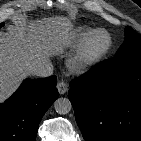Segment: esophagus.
Instances as JSON below:
<instances>
[{
    "instance_id": "esophagus-1",
    "label": "esophagus",
    "mask_w": 141,
    "mask_h": 141,
    "mask_svg": "<svg viewBox=\"0 0 141 141\" xmlns=\"http://www.w3.org/2000/svg\"><path fill=\"white\" fill-rule=\"evenodd\" d=\"M57 89L60 95L65 94L68 91V85L64 81H60L57 83Z\"/></svg>"
}]
</instances>
